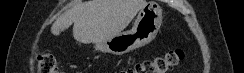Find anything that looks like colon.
<instances>
[{"label": "colon", "instance_id": "obj_1", "mask_svg": "<svg viewBox=\"0 0 244 73\" xmlns=\"http://www.w3.org/2000/svg\"><path fill=\"white\" fill-rule=\"evenodd\" d=\"M183 58L184 52L181 49H170L125 68L121 73H169ZM37 68L40 73H57V61L53 55L41 53L37 57Z\"/></svg>", "mask_w": 244, "mask_h": 73}]
</instances>
